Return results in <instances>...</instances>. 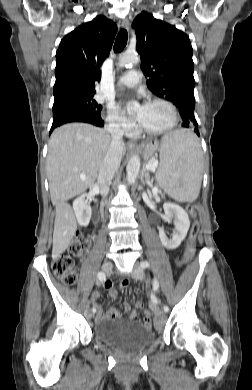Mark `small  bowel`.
<instances>
[{"mask_svg": "<svg viewBox=\"0 0 252 390\" xmlns=\"http://www.w3.org/2000/svg\"><path fill=\"white\" fill-rule=\"evenodd\" d=\"M122 283H126V285L128 284L127 280H123L121 282V285H120V288L121 290H124L122 288ZM105 287L108 289L109 291V296L112 298V299H116L117 296H118V291L113 288V285L110 281H106L105 282ZM100 297V294L95 292L92 294L91 296V302L94 304L95 306V309H96V320L97 321H102L104 319H117V318H120L121 317V312L117 309H110L108 310L106 313L103 312L101 306L97 303V300L99 299ZM140 308H143L141 305L139 306ZM124 311L125 312H130L131 315H130V318L133 322L135 323H141V319L140 317L138 316L137 314V311L135 308H132L129 304H125L124 306Z\"/></svg>", "mask_w": 252, "mask_h": 390, "instance_id": "1", "label": "small bowel"}]
</instances>
